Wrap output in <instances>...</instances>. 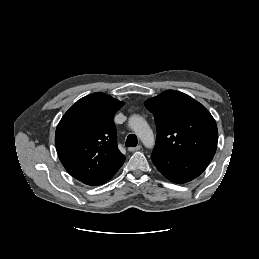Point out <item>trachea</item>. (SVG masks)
Segmentation results:
<instances>
[{
  "mask_svg": "<svg viewBox=\"0 0 259 259\" xmlns=\"http://www.w3.org/2000/svg\"><path fill=\"white\" fill-rule=\"evenodd\" d=\"M137 137L134 134H129L126 139V147H136Z\"/></svg>",
  "mask_w": 259,
  "mask_h": 259,
  "instance_id": "obj_1",
  "label": "trachea"
}]
</instances>
